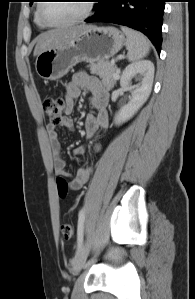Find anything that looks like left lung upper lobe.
Returning a JSON list of instances; mask_svg holds the SVG:
<instances>
[{
	"instance_id": "left-lung-upper-lobe-1",
	"label": "left lung upper lobe",
	"mask_w": 195,
	"mask_h": 299,
	"mask_svg": "<svg viewBox=\"0 0 195 299\" xmlns=\"http://www.w3.org/2000/svg\"><path fill=\"white\" fill-rule=\"evenodd\" d=\"M33 3V0H30V5Z\"/></svg>"
}]
</instances>
